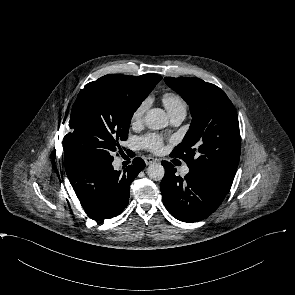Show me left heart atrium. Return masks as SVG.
<instances>
[{
	"label": "left heart atrium",
	"instance_id": "left-heart-atrium-1",
	"mask_svg": "<svg viewBox=\"0 0 295 295\" xmlns=\"http://www.w3.org/2000/svg\"><path fill=\"white\" fill-rule=\"evenodd\" d=\"M139 145L151 152H159L162 149L163 140L156 134H147L139 138Z\"/></svg>",
	"mask_w": 295,
	"mask_h": 295
}]
</instances>
